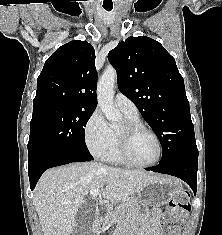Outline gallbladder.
Returning a JSON list of instances; mask_svg holds the SVG:
<instances>
[{
  "label": "gallbladder",
  "mask_w": 222,
  "mask_h": 235,
  "mask_svg": "<svg viewBox=\"0 0 222 235\" xmlns=\"http://www.w3.org/2000/svg\"><path fill=\"white\" fill-rule=\"evenodd\" d=\"M95 217V204L85 202L78 209L75 216V227L72 235H85Z\"/></svg>",
  "instance_id": "obj_1"
}]
</instances>
